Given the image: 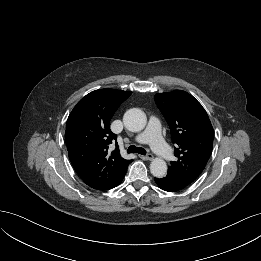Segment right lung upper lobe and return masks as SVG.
<instances>
[{
  "label": "right lung upper lobe",
  "mask_w": 261,
  "mask_h": 261,
  "mask_svg": "<svg viewBox=\"0 0 261 261\" xmlns=\"http://www.w3.org/2000/svg\"><path fill=\"white\" fill-rule=\"evenodd\" d=\"M132 92L99 89L83 97L70 113L65 132L69 159L85 184L108 190L121 182L129 163L119 149L117 135L110 130V120L120 104Z\"/></svg>",
  "instance_id": "1"
}]
</instances>
